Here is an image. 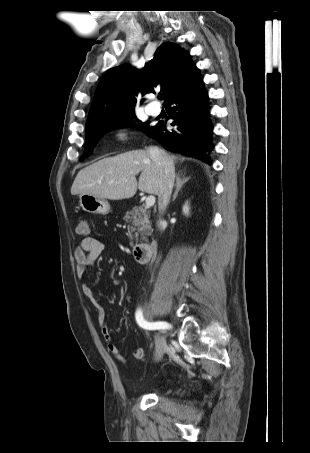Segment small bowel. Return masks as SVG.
<instances>
[{"label": "small bowel", "mask_w": 310, "mask_h": 453, "mask_svg": "<svg viewBox=\"0 0 310 453\" xmlns=\"http://www.w3.org/2000/svg\"><path fill=\"white\" fill-rule=\"evenodd\" d=\"M104 249V244L94 237L83 238L79 245L74 249L73 255L77 263L76 273L78 277H82L83 274L90 268L93 263L99 258ZM82 291L88 298L91 304L94 306L97 312V320L101 329L102 336L106 342L108 351L120 362H125V358L120 354L117 345L112 341L110 328L107 323L106 314L103 305L98 301L94 290L88 285H82ZM145 351L143 348H137L134 351V358L142 360L144 358Z\"/></svg>", "instance_id": "1"}]
</instances>
